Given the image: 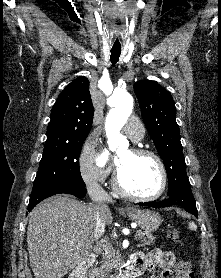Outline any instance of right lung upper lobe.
<instances>
[{
	"instance_id": "cb5924a9",
	"label": "right lung upper lobe",
	"mask_w": 221,
	"mask_h": 278,
	"mask_svg": "<svg viewBox=\"0 0 221 278\" xmlns=\"http://www.w3.org/2000/svg\"><path fill=\"white\" fill-rule=\"evenodd\" d=\"M93 113L89 80L80 76L65 87L54 104L46 143L87 136Z\"/></svg>"
}]
</instances>
